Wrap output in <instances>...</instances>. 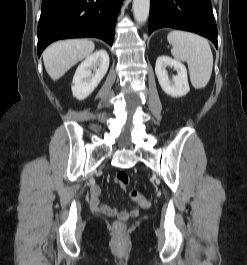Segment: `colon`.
<instances>
[{"instance_id":"obj_1","label":"colon","mask_w":247,"mask_h":265,"mask_svg":"<svg viewBox=\"0 0 247 265\" xmlns=\"http://www.w3.org/2000/svg\"><path fill=\"white\" fill-rule=\"evenodd\" d=\"M115 181L120 187L125 188L129 183V175L125 171H119L116 174ZM130 198L137 202L142 208H149L151 206L150 200L141 195L137 190H132L130 192ZM114 228L116 231L122 232L125 228V223L117 221L114 224Z\"/></svg>"}]
</instances>
